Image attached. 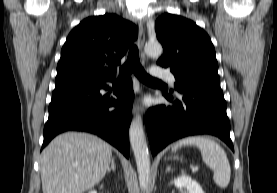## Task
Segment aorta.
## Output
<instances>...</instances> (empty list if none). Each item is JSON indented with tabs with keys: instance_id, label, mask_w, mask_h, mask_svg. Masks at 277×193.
Returning a JSON list of instances; mask_svg holds the SVG:
<instances>
[{
	"instance_id": "aorta-1",
	"label": "aorta",
	"mask_w": 277,
	"mask_h": 193,
	"mask_svg": "<svg viewBox=\"0 0 277 193\" xmlns=\"http://www.w3.org/2000/svg\"><path fill=\"white\" fill-rule=\"evenodd\" d=\"M144 50L145 53L151 57H157L161 55L163 51L161 44L158 42L146 43ZM129 138L137 164L140 187L141 189H145L150 178V157L144 134L142 118L140 116H136L132 120L129 130Z\"/></svg>"
}]
</instances>
